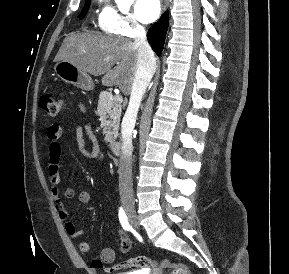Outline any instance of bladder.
Here are the masks:
<instances>
[{"instance_id":"31cf9c89","label":"bladder","mask_w":289,"mask_h":274,"mask_svg":"<svg viewBox=\"0 0 289 274\" xmlns=\"http://www.w3.org/2000/svg\"><path fill=\"white\" fill-rule=\"evenodd\" d=\"M117 274H147V273H144L143 271H129V272H120Z\"/></svg>"}]
</instances>
